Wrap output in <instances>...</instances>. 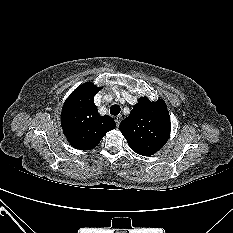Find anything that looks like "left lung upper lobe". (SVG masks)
I'll use <instances>...</instances> for the list:
<instances>
[{"instance_id": "1", "label": "left lung upper lobe", "mask_w": 233, "mask_h": 233, "mask_svg": "<svg viewBox=\"0 0 233 233\" xmlns=\"http://www.w3.org/2000/svg\"><path fill=\"white\" fill-rule=\"evenodd\" d=\"M119 129L134 152L153 155L170 137V116L164 100L152 102L147 97L139 98Z\"/></svg>"}]
</instances>
